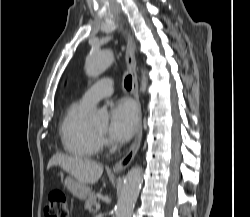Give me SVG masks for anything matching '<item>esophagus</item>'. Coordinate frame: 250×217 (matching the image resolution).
Instances as JSON below:
<instances>
[{"mask_svg":"<svg viewBox=\"0 0 250 217\" xmlns=\"http://www.w3.org/2000/svg\"><path fill=\"white\" fill-rule=\"evenodd\" d=\"M126 63L129 72L132 75V93L134 96V99L137 103L138 107V112L140 116V123H139V128L135 137V140L133 141L132 145L130 146L128 152L125 154V156L119 160L114 166H113V171L114 172H119L124 169H126L131 162L133 161L134 157L136 156L141 140H142V133H143V128H142V112H141V104L139 100V93H138V79H137V63H136V58H135V43H134V38L133 35L130 33H127V47H126Z\"/></svg>","mask_w":250,"mask_h":217,"instance_id":"obj_1","label":"esophagus"}]
</instances>
